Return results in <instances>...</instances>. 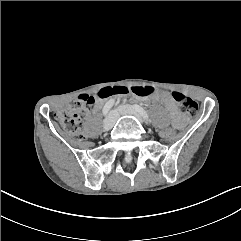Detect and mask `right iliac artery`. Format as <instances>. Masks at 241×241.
Here are the masks:
<instances>
[{
  "label": "right iliac artery",
  "mask_w": 241,
  "mask_h": 241,
  "mask_svg": "<svg viewBox=\"0 0 241 241\" xmlns=\"http://www.w3.org/2000/svg\"><path fill=\"white\" fill-rule=\"evenodd\" d=\"M113 104H114V100H113V99L109 100V101L105 104V106H104V108H103V110H102L103 116H106V115H107V113L109 112V110L111 109V107L113 106Z\"/></svg>",
  "instance_id": "82829eb1"
}]
</instances>
